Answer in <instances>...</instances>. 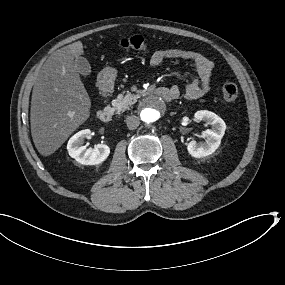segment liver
Listing matches in <instances>:
<instances>
[{"label":"liver","instance_id":"liver-1","mask_svg":"<svg viewBox=\"0 0 285 285\" xmlns=\"http://www.w3.org/2000/svg\"><path fill=\"white\" fill-rule=\"evenodd\" d=\"M84 54L81 41L55 51L36 79L31 103V136L43 157L53 155L90 117L92 102L75 60Z\"/></svg>","mask_w":285,"mask_h":285}]
</instances>
